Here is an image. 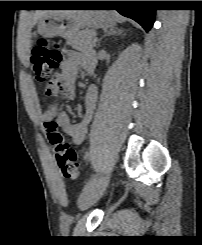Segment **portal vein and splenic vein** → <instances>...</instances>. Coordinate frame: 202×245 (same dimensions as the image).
<instances>
[{"mask_svg": "<svg viewBox=\"0 0 202 245\" xmlns=\"http://www.w3.org/2000/svg\"><path fill=\"white\" fill-rule=\"evenodd\" d=\"M96 41H97V38L95 37L94 42H96Z\"/></svg>", "mask_w": 202, "mask_h": 245, "instance_id": "18ae733b", "label": "portal vein and splenic vein"}]
</instances>
